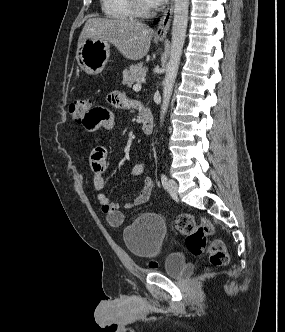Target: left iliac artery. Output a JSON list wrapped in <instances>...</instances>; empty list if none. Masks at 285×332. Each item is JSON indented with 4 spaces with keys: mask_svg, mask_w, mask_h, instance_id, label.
I'll list each match as a JSON object with an SVG mask.
<instances>
[{
    "mask_svg": "<svg viewBox=\"0 0 285 332\" xmlns=\"http://www.w3.org/2000/svg\"><path fill=\"white\" fill-rule=\"evenodd\" d=\"M161 183L164 189L168 188V179L165 174H161Z\"/></svg>",
    "mask_w": 285,
    "mask_h": 332,
    "instance_id": "44dca946",
    "label": "left iliac artery"
}]
</instances>
